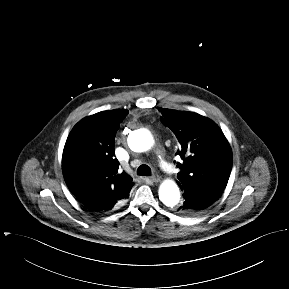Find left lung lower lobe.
Listing matches in <instances>:
<instances>
[{
  "label": "left lung lower lobe",
  "instance_id": "obj_1",
  "mask_svg": "<svg viewBox=\"0 0 289 289\" xmlns=\"http://www.w3.org/2000/svg\"><path fill=\"white\" fill-rule=\"evenodd\" d=\"M184 203L177 211L185 215H197L212 205L216 200L199 193L184 192Z\"/></svg>",
  "mask_w": 289,
  "mask_h": 289
}]
</instances>
